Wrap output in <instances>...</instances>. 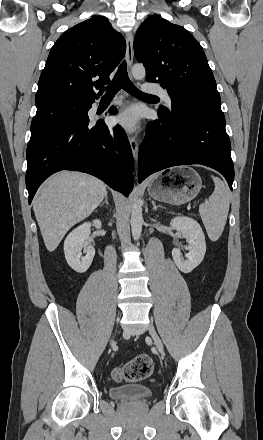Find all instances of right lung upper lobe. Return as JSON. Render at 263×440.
I'll return each instance as SVG.
<instances>
[{
  "instance_id": "obj_1",
  "label": "right lung upper lobe",
  "mask_w": 263,
  "mask_h": 440,
  "mask_svg": "<svg viewBox=\"0 0 263 440\" xmlns=\"http://www.w3.org/2000/svg\"><path fill=\"white\" fill-rule=\"evenodd\" d=\"M126 42L102 16L66 31L52 47L38 82L37 108L59 102L95 100L98 89L123 58ZM98 79V80H96Z\"/></svg>"
}]
</instances>
